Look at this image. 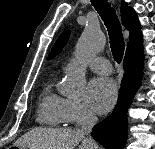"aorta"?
Returning <instances> with one entry per match:
<instances>
[{
	"label": "aorta",
	"instance_id": "1",
	"mask_svg": "<svg viewBox=\"0 0 155 149\" xmlns=\"http://www.w3.org/2000/svg\"><path fill=\"white\" fill-rule=\"evenodd\" d=\"M105 37L98 27L86 26L79 38L74 58L62 81L61 92L72 98H82L86 87L88 60L105 46Z\"/></svg>",
	"mask_w": 155,
	"mask_h": 149
}]
</instances>
